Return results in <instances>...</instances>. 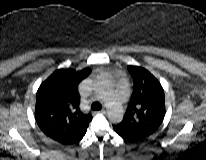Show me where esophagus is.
<instances>
[{"mask_svg": "<svg viewBox=\"0 0 206 160\" xmlns=\"http://www.w3.org/2000/svg\"><path fill=\"white\" fill-rule=\"evenodd\" d=\"M102 114H106V109L102 108V110L100 111Z\"/></svg>", "mask_w": 206, "mask_h": 160, "instance_id": "34e87169", "label": "esophagus"}]
</instances>
